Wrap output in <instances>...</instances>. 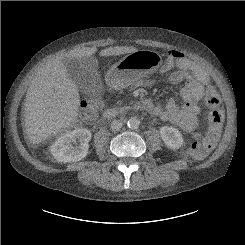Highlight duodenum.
<instances>
[{
    "label": "duodenum",
    "mask_w": 245,
    "mask_h": 245,
    "mask_svg": "<svg viewBox=\"0 0 245 245\" xmlns=\"http://www.w3.org/2000/svg\"><path fill=\"white\" fill-rule=\"evenodd\" d=\"M156 108V105L153 103V101L149 99H144L128 108H121V109H107L104 114L103 118L105 120H112V119H119L121 116L126 115L127 113L136 112L141 109L151 111Z\"/></svg>",
    "instance_id": "obj_1"
}]
</instances>
